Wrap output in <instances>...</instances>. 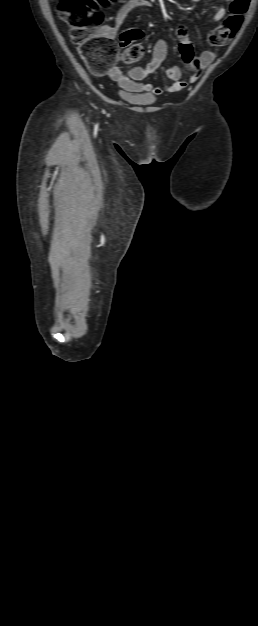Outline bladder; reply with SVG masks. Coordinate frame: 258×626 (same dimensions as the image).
Here are the masks:
<instances>
[{
  "instance_id": "1",
  "label": "bladder",
  "mask_w": 258,
  "mask_h": 626,
  "mask_svg": "<svg viewBox=\"0 0 258 626\" xmlns=\"http://www.w3.org/2000/svg\"><path fill=\"white\" fill-rule=\"evenodd\" d=\"M119 95L124 101L140 106L152 105L156 101L155 96L146 93H130L127 91H120Z\"/></svg>"
}]
</instances>
